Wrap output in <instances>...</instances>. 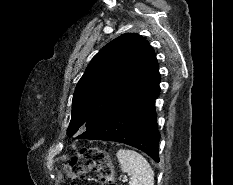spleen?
<instances>
[{"label":"spleen","mask_w":233,"mask_h":185,"mask_svg":"<svg viewBox=\"0 0 233 185\" xmlns=\"http://www.w3.org/2000/svg\"><path fill=\"white\" fill-rule=\"evenodd\" d=\"M116 156L122 171L131 175L130 185H154V172L141 154L134 150L120 149Z\"/></svg>","instance_id":"obj_1"}]
</instances>
